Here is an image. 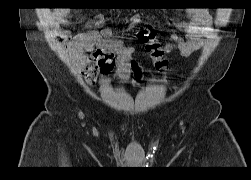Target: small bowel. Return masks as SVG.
<instances>
[{
    "label": "small bowel",
    "instance_id": "c3829d8e",
    "mask_svg": "<svg viewBox=\"0 0 251 180\" xmlns=\"http://www.w3.org/2000/svg\"><path fill=\"white\" fill-rule=\"evenodd\" d=\"M69 9H59L51 14L53 26H60L68 22ZM189 21L178 22L176 27L185 32L181 37L171 35L172 43L165 46L167 52L177 50L182 57H189L205 44V35L211 24V16L205 9H191L187 12ZM138 17H134L136 22ZM100 30H91L72 36L68 31H60L59 36L66 48L73 54L90 53V60L83 68V75L89 84H94L98 77L107 76L113 70L121 81H126L131 72L138 75V68L132 58L133 49L122 41L113 38L109 28L103 27L102 17L96 22Z\"/></svg>",
    "mask_w": 251,
    "mask_h": 180
}]
</instances>
